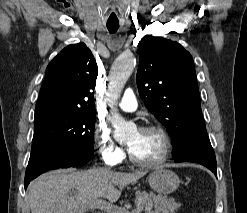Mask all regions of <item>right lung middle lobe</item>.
<instances>
[{
	"label": "right lung middle lobe",
	"mask_w": 247,
	"mask_h": 213,
	"mask_svg": "<svg viewBox=\"0 0 247 213\" xmlns=\"http://www.w3.org/2000/svg\"><path fill=\"white\" fill-rule=\"evenodd\" d=\"M95 115L57 110L35 114L30 159L56 147L69 154L94 152Z\"/></svg>",
	"instance_id": "obj_1"
}]
</instances>
